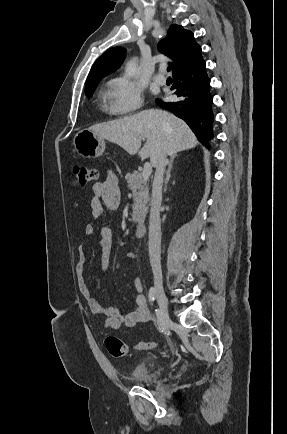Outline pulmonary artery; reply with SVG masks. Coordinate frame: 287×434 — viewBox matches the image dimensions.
<instances>
[{"mask_svg":"<svg viewBox=\"0 0 287 434\" xmlns=\"http://www.w3.org/2000/svg\"><path fill=\"white\" fill-rule=\"evenodd\" d=\"M155 81L159 84H164L166 82V77L164 75V70H160V73L154 77Z\"/></svg>","mask_w":287,"mask_h":434,"instance_id":"pulmonary-artery-1","label":"pulmonary artery"}]
</instances>
